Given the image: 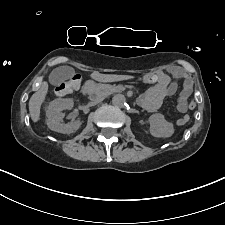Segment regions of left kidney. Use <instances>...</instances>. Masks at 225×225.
<instances>
[{"label": "left kidney", "instance_id": "obj_1", "mask_svg": "<svg viewBox=\"0 0 225 225\" xmlns=\"http://www.w3.org/2000/svg\"><path fill=\"white\" fill-rule=\"evenodd\" d=\"M150 133L154 137L168 138L174 133V126L165 120L164 115L156 113L150 116Z\"/></svg>", "mask_w": 225, "mask_h": 225}]
</instances>
